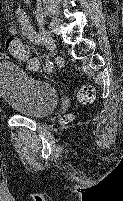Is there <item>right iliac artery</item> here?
I'll use <instances>...</instances> for the list:
<instances>
[{
  "instance_id": "obj_1",
  "label": "right iliac artery",
  "mask_w": 123,
  "mask_h": 201,
  "mask_svg": "<svg viewBox=\"0 0 123 201\" xmlns=\"http://www.w3.org/2000/svg\"><path fill=\"white\" fill-rule=\"evenodd\" d=\"M16 18L21 26L23 34L33 43L37 45H43V39L40 34H38L33 27L30 25L29 19L23 9L18 8L16 10ZM49 56V55H48ZM47 56V58H48ZM53 63L47 59L46 61V71L52 72Z\"/></svg>"
}]
</instances>
